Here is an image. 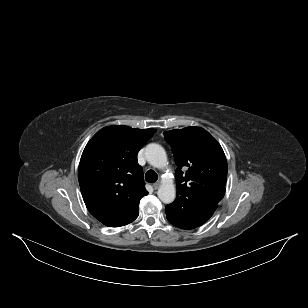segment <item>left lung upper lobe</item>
I'll use <instances>...</instances> for the list:
<instances>
[{
    "mask_svg": "<svg viewBox=\"0 0 308 308\" xmlns=\"http://www.w3.org/2000/svg\"><path fill=\"white\" fill-rule=\"evenodd\" d=\"M176 169L177 197L165 213L186 217L215 207L225 194L227 160L216 139L199 127L164 132Z\"/></svg>",
    "mask_w": 308,
    "mask_h": 308,
    "instance_id": "1",
    "label": "left lung upper lobe"
}]
</instances>
